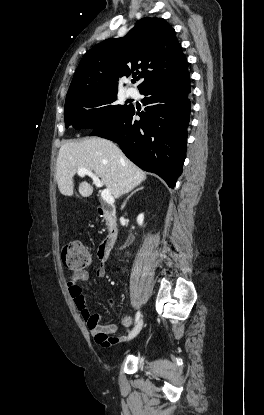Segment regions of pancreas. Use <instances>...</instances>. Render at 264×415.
I'll return each instance as SVG.
<instances>
[{
  "label": "pancreas",
  "instance_id": "1",
  "mask_svg": "<svg viewBox=\"0 0 264 415\" xmlns=\"http://www.w3.org/2000/svg\"><path fill=\"white\" fill-rule=\"evenodd\" d=\"M107 225H108L109 229H111V226L108 223H107Z\"/></svg>",
  "mask_w": 264,
  "mask_h": 415
}]
</instances>
